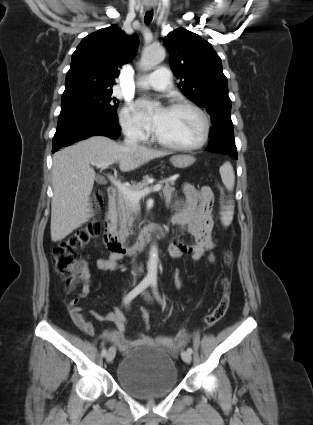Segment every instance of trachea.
<instances>
[{
	"label": "trachea",
	"instance_id": "3493384b",
	"mask_svg": "<svg viewBox=\"0 0 313 425\" xmlns=\"http://www.w3.org/2000/svg\"><path fill=\"white\" fill-rule=\"evenodd\" d=\"M153 19V11H147L144 17L145 23L149 24Z\"/></svg>",
	"mask_w": 313,
	"mask_h": 425
}]
</instances>
